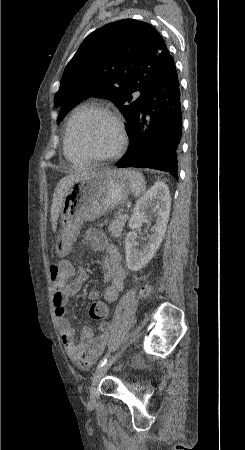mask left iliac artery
Segmentation results:
<instances>
[{"label": "left iliac artery", "mask_w": 245, "mask_h": 450, "mask_svg": "<svg viewBox=\"0 0 245 450\" xmlns=\"http://www.w3.org/2000/svg\"><path fill=\"white\" fill-rule=\"evenodd\" d=\"M110 353L106 354L103 359L99 362L97 368H96V372L107 362V359L109 357Z\"/></svg>", "instance_id": "1"}]
</instances>
